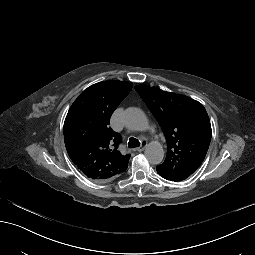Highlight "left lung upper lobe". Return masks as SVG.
Listing matches in <instances>:
<instances>
[{
    "instance_id": "left-lung-upper-lobe-1",
    "label": "left lung upper lobe",
    "mask_w": 255,
    "mask_h": 255,
    "mask_svg": "<svg viewBox=\"0 0 255 255\" xmlns=\"http://www.w3.org/2000/svg\"><path fill=\"white\" fill-rule=\"evenodd\" d=\"M138 94L160 124L167 141V156L156 167L171 181H182L202 164L211 141V124L201 103L190 97L138 85Z\"/></svg>"
}]
</instances>
